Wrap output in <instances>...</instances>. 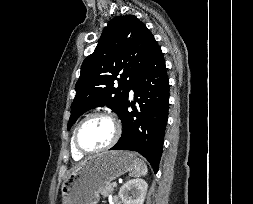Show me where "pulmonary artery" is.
<instances>
[{
	"mask_svg": "<svg viewBox=\"0 0 253 204\" xmlns=\"http://www.w3.org/2000/svg\"><path fill=\"white\" fill-rule=\"evenodd\" d=\"M132 96H133V90L130 91V97H132Z\"/></svg>",
	"mask_w": 253,
	"mask_h": 204,
	"instance_id": "e3ab8cb5",
	"label": "pulmonary artery"
}]
</instances>
